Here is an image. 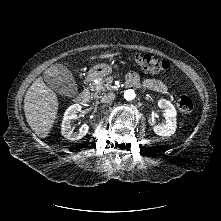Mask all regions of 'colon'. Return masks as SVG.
Returning <instances> with one entry per match:
<instances>
[{"mask_svg":"<svg viewBox=\"0 0 221 221\" xmlns=\"http://www.w3.org/2000/svg\"><path fill=\"white\" fill-rule=\"evenodd\" d=\"M100 62L103 66L108 67L112 64L113 59L110 55L105 54L101 57ZM120 63L124 67H129L131 64L134 66L141 64L148 72L154 74L164 72L170 67L169 63L165 60H157L148 55L141 56L139 53H134L132 56L124 54L120 58ZM44 82L48 86H56L58 84L56 76L50 71L45 74ZM177 106L180 116L183 119H188L193 108L190 98L186 95H180L177 97Z\"/></svg>","mask_w":221,"mask_h":221,"instance_id":"colon-1","label":"colon"}]
</instances>
